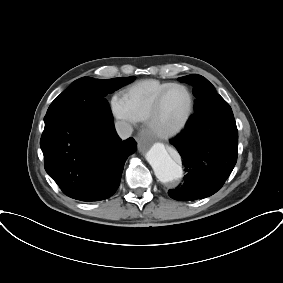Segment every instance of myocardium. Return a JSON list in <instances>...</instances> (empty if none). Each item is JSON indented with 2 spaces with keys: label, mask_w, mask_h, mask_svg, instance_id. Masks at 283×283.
<instances>
[{
  "label": "myocardium",
  "mask_w": 283,
  "mask_h": 283,
  "mask_svg": "<svg viewBox=\"0 0 283 283\" xmlns=\"http://www.w3.org/2000/svg\"><path fill=\"white\" fill-rule=\"evenodd\" d=\"M174 88H182L188 93L189 100H190L189 108H188V111H187L184 119L181 121L180 124H178L176 127L172 128V129L162 130V129H159L156 126V119H157V116L159 114L160 107H161V104H162L164 97L166 96V94L170 90H172ZM194 110H195V97H194L192 90L188 86H186L185 84L172 83L171 85H169L168 87L163 89L157 95V97H156V99H155V101L152 105V108L150 110V113L148 115V118L146 120V124H147V127L150 130V132L153 135H155L156 137L161 138V139H169V138L175 137L176 135L180 134L187 127V125L189 124V122H190V120H191V118L194 114Z\"/></svg>",
  "instance_id": "f54148a6"
}]
</instances>
